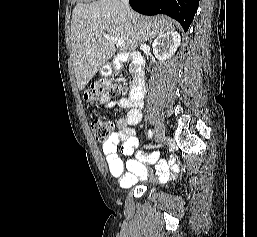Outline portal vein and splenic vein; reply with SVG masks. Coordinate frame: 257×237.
I'll use <instances>...</instances> for the list:
<instances>
[{
	"label": "portal vein and splenic vein",
	"mask_w": 257,
	"mask_h": 237,
	"mask_svg": "<svg viewBox=\"0 0 257 237\" xmlns=\"http://www.w3.org/2000/svg\"><path fill=\"white\" fill-rule=\"evenodd\" d=\"M103 37H104L107 41L116 44L117 47H119V48H121V49H124V48L126 47V44H125L124 40H122V39L112 37V36H110V35H108V34H105V33H103ZM91 41L94 42L95 39L92 38Z\"/></svg>",
	"instance_id": "obj_1"
}]
</instances>
